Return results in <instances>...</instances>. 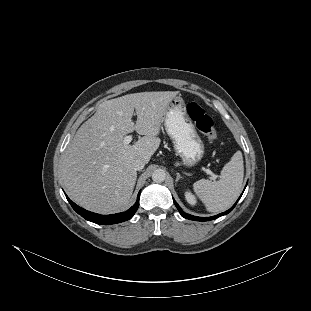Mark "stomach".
Listing matches in <instances>:
<instances>
[{
	"label": "stomach",
	"instance_id": "obj_1",
	"mask_svg": "<svg viewBox=\"0 0 311 311\" xmlns=\"http://www.w3.org/2000/svg\"><path fill=\"white\" fill-rule=\"evenodd\" d=\"M163 122L165 131L173 142L174 151L181 158L180 163L187 167L196 165L203 158L204 143L181 96L174 97L167 105Z\"/></svg>",
	"mask_w": 311,
	"mask_h": 311
}]
</instances>
